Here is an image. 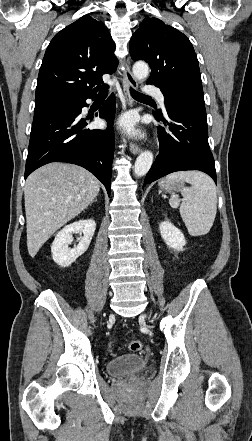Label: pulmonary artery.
I'll return each mask as SVG.
<instances>
[{"label": "pulmonary artery", "mask_w": 252, "mask_h": 441, "mask_svg": "<svg viewBox=\"0 0 252 441\" xmlns=\"http://www.w3.org/2000/svg\"><path fill=\"white\" fill-rule=\"evenodd\" d=\"M143 92L147 96H155L158 99L161 106H164V96L158 88L147 86L143 88Z\"/></svg>", "instance_id": "pulmonary-artery-1"}]
</instances>
